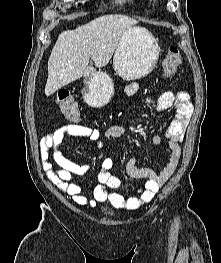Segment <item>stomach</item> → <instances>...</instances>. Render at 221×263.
I'll list each match as a JSON object with an SVG mask.
<instances>
[{
	"mask_svg": "<svg viewBox=\"0 0 221 263\" xmlns=\"http://www.w3.org/2000/svg\"><path fill=\"white\" fill-rule=\"evenodd\" d=\"M160 47L144 28L134 27L125 32L115 50L113 67L124 79L137 80L147 76L155 67ZM114 94V84L105 72H94L84 82L83 97L94 108L105 106Z\"/></svg>",
	"mask_w": 221,
	"mask_h": 263,
	"instance_id": "obj_1",
	"label": "stomach"
}]
</instances>
